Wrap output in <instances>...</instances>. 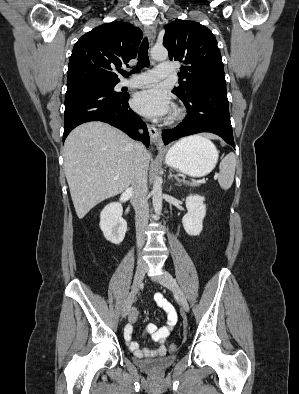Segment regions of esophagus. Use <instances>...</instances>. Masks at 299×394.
<instances>
[{"label": "esophagus", "instance_id": "1", "mask_svg": "<svg viewBox=\"0 0 299 394\" xmlns=\"http://www.w3.org/2000/svg\"><path fill=\"white\" fill-rule=\"evenodd\" d=\"M146 34L152 43L156 36V30L153 26H147L145 28ZM148 131L150 135L151 141L158 147H162V140H161V131L153 125H148Z\"/></svg>", "mask_w": 299, "mask_h": 394}]
</instances>
